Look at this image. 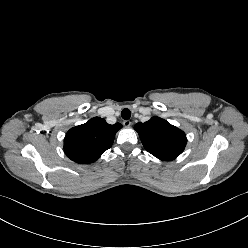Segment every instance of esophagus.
<instances>
[{"mask_svg": "<svg viewBox=\"0 0 248 248\" xmlns=\"http://www.w3.org/2000/svg\"><path fill=\"white\" fill-rule=\"evenodd\" d=\"M131 121L130 120H124L123 121V125L125 126V127H130L131 126Z\"/></svg>", "mask_w": 248, "mask_h": 248, "instance_id": "1", "label": "esophagus"}]
</instances>
